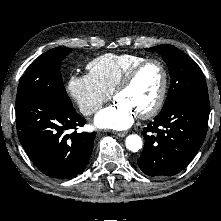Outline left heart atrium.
Masks as SVG:
<instances>
[{
	"label": "left heart atrium",
	"instance_id": "left-heart-atrium-1",
	"mask_svg": "<svg viewBox=\"0 0 221 221\" xmlns=\"http://www.w3.org/2000/svg\"><path fill=\"white\" fill-rule=\"evenodd\" d=\"M137 114L126 103L116 101L113 105L100 111L94 120L99 128H109L115 130H123L129 128Z\"/></svg>",
	"mask_w": 221,
	"mask_h": 221
}]
</instances>
